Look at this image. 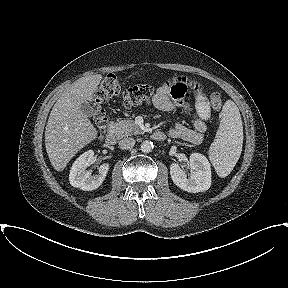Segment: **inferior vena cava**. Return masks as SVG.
Returning <instances> with one entry per match:
<instances>
[{
  "label": "inferior vena cava",
  "instance_id": "1",
  "mask_svg": "<svg viewBox=\"0 0 288 288\" xmlns=\"http://www.w3.org/2000/svg\"><path fill=\"white\" fill-rule=\"evenodd\" d=\"M135 145V140L131 137L124 138L119 141V147L121 149H131Z\"/></svg>",
  "mask_w": 288,
  "mask_h": 288
}]
</instances>
